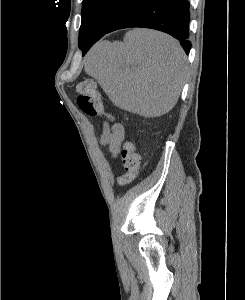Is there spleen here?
<instances>
[{
  "label": "spleen",
  "mask_w": 245,
  "mask_h": 300,
  "mask_svg": "<svg viewBox=\"0 0 245 300\" xmlns=\"http://www.w3.org/2000/svg\"><path fill=\"white\" fill-rule=\"evenodd\" d=\"M186 56L172 37L146 29L123 42H102L89 53L85 72L117 107L147 117L169 112L186 78Z\"/></svg>",
  "instance_id": "spleen-1"
}]
</instances>
